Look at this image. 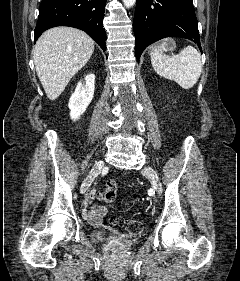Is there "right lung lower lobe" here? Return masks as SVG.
I'll return each instance as SVG.
<instances>
[{
	"mask_svg": "<svg viewBox=\"0 0 240 281\" xmlns=\"http://www.w3.org/2000/svg\"><path fill=\"white\" fill-rule=\"evenodd\" d=\"M107 0H42L35 27V41L47 29L71 26L85 31L106 51L103 18Z\"/></svg>",
	"mask_w": 240,
	"mask_h": 281,
	"instance_id": "98d812e1",
	"label": "right lung lower lobe"
}]
</instances>
